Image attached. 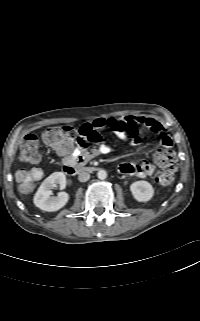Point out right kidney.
<instances>
[{"instance_id":"ca27d5eb","label":"right kidney","mask_w":200,"mask_h":321,"mask_svg":"<svg viewBox=\"0 0 200 321\" xmlns=\"http://www.w3.org/2000/svg\"><path fill=\"white\" fill-rule=\"evenodd\" d=\"M66 176L62 172H54L47 177L37 190L33 202L41 210L53 212L58 211L66 205L69 195L66 192H59L57 196H51V189L60 186V189L66 187Z\"/></svg>"}]
</instances>
